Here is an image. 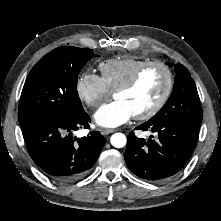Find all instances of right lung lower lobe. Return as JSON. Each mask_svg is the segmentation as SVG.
I'll return each instance as SVG.
<instances>
[{
  "mask_svg": "<svg viewBox=\"0 0 221 221\" xmlns=\"http://www.w3.org/2000/svg\"><path fill=\"white\" fill-rule=\"evenodd\" d=\"M86 112L69 119H49L22 130L27 151L50 179L67 183L83 177L97 161L106 139L99 131L82 138L72 133L88 128Z\"/></svg>",
  "mask_w": 221,
  "mask_h": 221,
  "instance_id": "1",
  "label": "right lung lower lobe"
}]
</instances>
